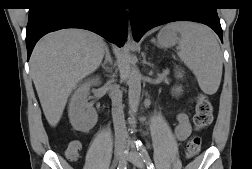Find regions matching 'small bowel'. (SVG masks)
<instances>
[{"label": "small bowel", "mask_w": 252, "mask_h": 169, "mask_svg": "<svg viewBox=\"0 0 252 169\" xmlns=\"http://www.w3.org/2000/svg\"><path fill=\"white\" fill-rule=\"evenodd\" d=\"M191 134V127L189 124L188 116L184 113H180L177 115V125L175 127V137L179 141L186 140ZM71 147H76L77 153H79L81 149V143L77 140H73L69 143L68 149Z\"/></svg>", "instance_id": "small-bowel-1"}]
</instances>
